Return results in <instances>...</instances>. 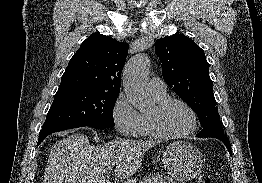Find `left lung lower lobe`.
I'll return each instance as SVG.
<instances>
[{"label":"left lung lower lobe","instance_id":"0a47b994","mask_svg":"<svg viewBox=\"0 0 262 183\" xmlns=\"http://www.w3.org/2000/svg\"><path fill=\"white\" fill-rule=\"evenodd\" d=\"M217 139L221 140L225 144V146L227 147L229 153L232 154L231 148H230L229 139L227 137H225V138H217Z\"/></svg>","mask_w":262,"mask_h":183}]
</instances>
